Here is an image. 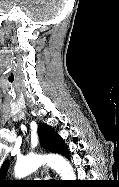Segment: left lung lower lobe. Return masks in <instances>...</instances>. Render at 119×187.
Here are the masks:
<instances>
[{
    "label": "left lung lower lobe",
    "instance_id": "obj_1",
    "mask_svg": "<svg viewBox=\"0 0 119 187\" xmlns=\"http://www.w3.org/2000/svg\"><path fill=\"white\" fill-rule=\"evenodd\" d=\"M65 157H67L68 159L70 158L69 152L65 155Z\"/></svg>",
    "mask_w": 119,
    "mask_h": 187
}]
</instances>
